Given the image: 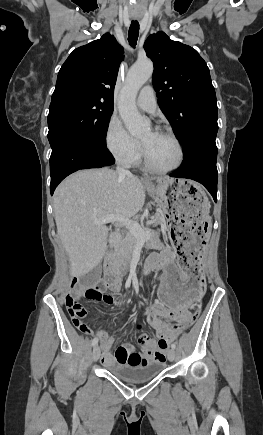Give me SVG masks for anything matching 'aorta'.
I'll use <instances>...</instances> for the list:
<instances>
[{
	"label": "aorta",
	"instance_id": "1",
	"mask_svg": "<svg viewBox=\"0 0 263 435\" xmlns=\"http://www.w3.org/2000/svg\"><path fill=\"white\" fill-rule=\"evenodd\" d=\"M153 74V64L147 60L133 65L126 77L119 102V114L133 136H142L150 130V122L142 117L136 107L139 89Z\"/></svg>",
	"mask_w": 263,
	"mask_h": 435
}]
</instances>
